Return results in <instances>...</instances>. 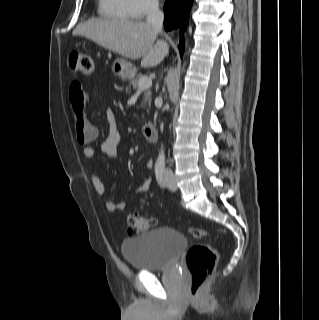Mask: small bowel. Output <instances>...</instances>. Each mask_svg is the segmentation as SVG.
<instances>
[{"label": "small bowel", "mask_w": 319, "mask_h": 320, "mask_svg": "<svg viewBox=\"0 0 319 320\" xmlns=\"http://www.w3.org/2000/svg\"><path fill=\"white\" fill-rule=\"evenodd\" d=\"M86 93L83 90L82 84L79 81H74L69 90V102L73 117H83L89 127H91L95 133V137L98 135V129L95 125L86 119L85 115V104H86ZM106 119L108 124V132L102 142L101 150L102 152L109 156L115 157L119 145L121 143V133L117 129L115 117L112 111L108 110L106 112ZM83 155L86 159H92L95 156L94 148L91 146H85L83 148ZM146 167H152L153 163L151 160L146 162ZM91 184L94 191L101 197L105 195V185L100 178V176L93 171L91 175ZM149 190V180L145 179L139 186L133 189L132 193L135 195L146 193ZM105 209L108 212H120L126 207L124 201L115 202L110 199L104 200Z\"/></svg>", "instance_id": "c3829d8e"}]
</instances>
